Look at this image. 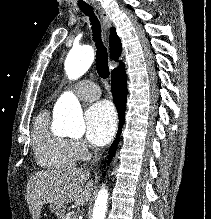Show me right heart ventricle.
Listing matches in <instances>:
<instances>
[{
    "label": "right heart ventricle",
    "mask_w": 211,
    "mask_h": 219,
    "mask_svg": "<svg viewBox=\"0 0 211 219\" xmlns=\"http://www.w3.org/2000/svg\"><path fill=\"white\" fill-rule=\"evenodd\" d=\"M32 146L36 162L41 167L66 168L74 166L77 161L69 140L50 129L47 111H41L35 119Z\"/></svg>",
    "instance_id": "1"
}]
</instances>
